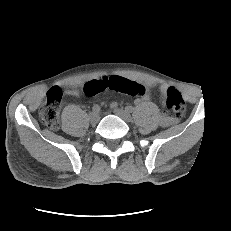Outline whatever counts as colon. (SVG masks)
I'll use <instances>...</instances> for the list:
<instances>
[{"label":"colon","mask_w":231,"mask_h":231,"mask_svg":"<svg viewBox=\"0 0 231 231\" xmlns=\"http://www.w3.org/2000/svg\"><path fill=\"white\" fill-rule=\"evenodd\" d=\"M106 90H112L131 96H138L144 92L139 84L118 77L94 80L84 86V92L90 96ZM61 98V90L59 88H52L47 93L46 99L40 108L39 117L42 123L50 129H57L59 126ZM164 108L166 111L173 113L176 117H180L185 112L186 103L178 91L170 88L166 91Z\"/></svg>","instance_id":"colon-1"}]
</instances>
